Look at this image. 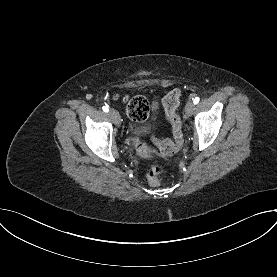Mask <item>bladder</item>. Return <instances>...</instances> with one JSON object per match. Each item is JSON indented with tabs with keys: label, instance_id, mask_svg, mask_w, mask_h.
<instances>
[{
	"label": "bladder",
	"instance_id": "obj_1",
	"mask_svg": "<svg viewBox=\"0 0 277 277\" xmlns=\"http://www.w3.org/2000/svg\"><path fill=\"white\" fill-rule=\"evenodd\" d=\"M159 120V115L156 106L153 107L152 110V121L153 122H158ZM151 128V125L149 123L147 124H132L130 126V132L133 135L140 136V135H145L146 133L149 132Z\"/></svg>",
	"mask_w": 277,
	"mask_h": 277
}]
</instances>
